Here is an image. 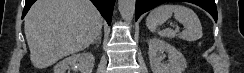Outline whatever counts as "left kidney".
<instances>
[{
  "mask_svg": "<svg viewBox=\"0 0 244 73\" xmlns=\"http://www.w3.org/2000/svg\"><path fill=\"white\" fill-rule=\"evenodd\" d=\"M148 45L153 73H182L186 69L187 62L184 55L173 45L158 38L150 39ZM164 52L168 54V61L165 63L163 62Z\"/></svg>",
  "mask_w": 244,
  "mask_h": 73,
  "instance_id": "1",
  "label": "left kidney"
}]
</instances>
